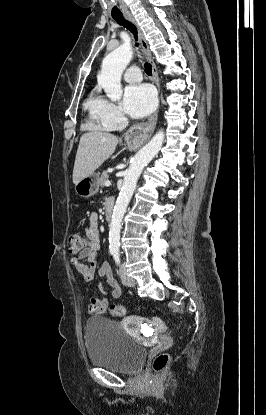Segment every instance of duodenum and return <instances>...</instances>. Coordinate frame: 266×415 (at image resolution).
Segmentation results:
<instances>
[{"label": "duodenum", "mask_w": 266, "mask_h": 415, "mask_svg": "<svg viewBox=\"0 0 266 415\" xmlns=\"http://www.w3.org/2000/svg\"><path fill=\"white\" fill-rule=\"evenodd\" d=\"M113 210H114V201L113 200L106 201V204H105V215H106V219L108 221H110L111 218H112Z\"/></svg>", "instance_id": "obj_1"}]
</instances>
